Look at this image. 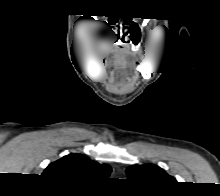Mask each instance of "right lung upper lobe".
Here are the masks:
<instances>
[{
    "label": "right lung upper lobe",
    "mask_w": 220,
    "mask_h": 196,
    "mask_svg": "<svg viewBox=\"0 0 220 196\" xmlns=\"http://www.w3.org/2000/svg\"><path fill=\"white\" fill-rule=\"evenodd\" d=\"M111 167L80 154H69L49 164L42 175L69 184L94 185L106 179Z\"/></svg>",
    "instance_id": "1"
}]
</instances>
